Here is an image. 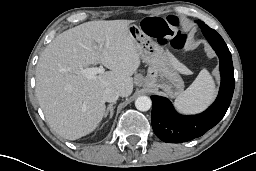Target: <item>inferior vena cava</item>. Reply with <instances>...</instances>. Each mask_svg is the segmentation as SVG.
I'll return each mask as SVG.
<instances>
[{"label": "inferior vena cava", "instance_id": "602c4592", "mask_svg": "<svg viewBox=\"0 0 256 171\" xmlns=\"http://www.w3.org/2000/svg\"><path fill=\"white\" fill-rule=\"evenodd\" d=\"M119 95V92L114 88H106L103 93V98L106 102H115Z\"/></svg>", "mask_w": 256, "mask_h": 171}]
</instances>
